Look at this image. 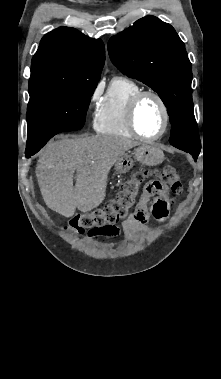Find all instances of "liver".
Wrapping results in <instances>:
<instances>
[{"mask_svg": "<svg viewBox=\"0 0 221 379\" xmlns=\"http://www.w3.org/2000/svg\"><path fill=\"white\" fill-rule=\"evenodd\" d=\"M138 143L96 135L49 142L40 152L36 176L48 208L69 218L89 212L106 196L107 177L117 160ZM76 171V184L73 175Z\"/></svg>", "mask_w": 221, "mask_h": 379, "instance_id": "liver-1", "label": "liver"}]
</instances>
